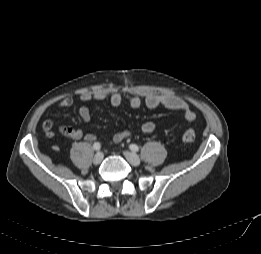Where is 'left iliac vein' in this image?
Masks as SVG:
<instances>
[{"label":"left iliac vein","mask_w":261,"mask_h":254,"mask_svg":"<svg viewBox=\"0 0 261 254\" xmlns=\"http://www.w3.org/2000/svg\"><path fill=\"white\" fill-rule=\"evenodd\" d=\"M124 156L131 165H140V158L134 152L124 151Z\"/></svg>","instance_id":"obj_1"}]
</instances>
